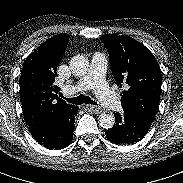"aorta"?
<instances>
[{
    "label": "aorta",
    "instance_id": "obj_1",
    "mask_svg": "<svg viewBox=\"0 0 183 183\" xmlns=\"http://www.w3.org/2000/svg\"><path fill=\"white\" fill-rule=\"evenodd\" d=\"M89 69V60L83 55H76L70 61V70L76 76H83ZM115 123L113 114L103 113L99 116V124L104 129H110Z\"/></svg>",
    "mask_w": 183,
    "mask_h": 183
}]
</instances>
